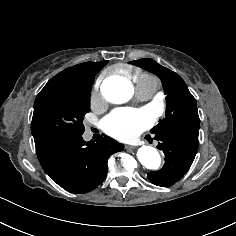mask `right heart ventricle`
Here are the masks:
<instances>
[{
    "label": "right heart ventricle",
    "instance_id": "right-heart-ventricle-1",
    "mask_svg": "<svg viewBox=\"0 0 236 236\" xmlns=\"http://www.w3.org/2000/svg\"><path fill=\"white\" fill-rule=\"evenodd\" d=\"M130 82L137 88H147L156 90L158 88V80L151 74L145 72H135L129 77Z\"/></svg>",
    "mask_w": 236,
    "mask_h": 236
}]
</instances>
